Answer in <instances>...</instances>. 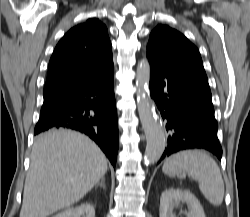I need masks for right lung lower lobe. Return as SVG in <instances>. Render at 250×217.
I'll return each instance as SVG.
<instances>
[{"label": "right lung lower lobe", "mask_w": 250, "mask_h": 217, "mask_svg": "<svg viewBox=\"0 0 250 217\" xmlns=\"http://www.w3.org/2000/svg\"><path fill=\"white\" fill-rule=\"evenodd\" d=\"M113 79L111 66L90 81L44 96L34 134L58 128L85 133L115 167L118 121Z\"/></svg>", "instance_id": "right-lung-lower-lobe-1"}]
</instances>
